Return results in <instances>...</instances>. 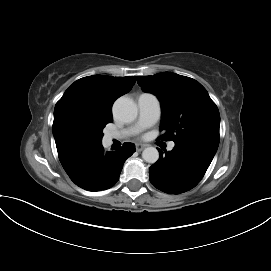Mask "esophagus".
Listing matches in <instances>:
<instances>
[{
    "instance_id": "esophagus-1",
    "label": "esophagus",
    "mask_w": 271,
    "mask_h": 271,
    "mask_svg": "<svg viewBox=\"0 0 271 271\" xmlns=\"http://www.w3.org/2000/svg\"><path fill=\"white\" fill-rule=\"evenodd\" d=\"M146 147V145L144 144H136V150L137 151H142L144 148Z\"/></svg>"
}]
</instances>
